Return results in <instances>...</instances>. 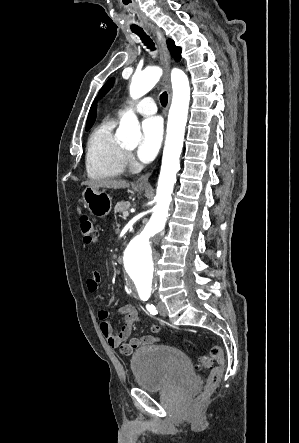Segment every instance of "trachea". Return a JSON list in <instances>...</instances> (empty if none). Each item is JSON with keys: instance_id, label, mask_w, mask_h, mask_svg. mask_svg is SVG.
Masks as SVG:
<instances>
[{"instance_id": "trachea-1", "label": "trachea", "mask_w": 299, "mask_h": 443, "mask_svg": "<svg viewBox=\"0 0 299 443\" xmlns=\"http://www.w3.org/2000/svg\"><path fill=\"white\" fill-rule=\"evenodd\" d=\"M133 32L141 38L142 42L144 43V45L147 46L148 49H150L151 51H154L156 49L152 39L148 35H146V33L143 30H133ZM160 102L163 107L167 105L168 102L167 92H163L160 95Z\"/></svg>"}]
</instances>
